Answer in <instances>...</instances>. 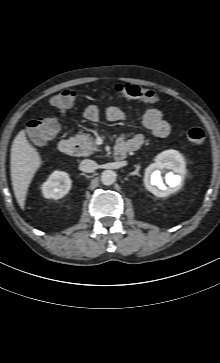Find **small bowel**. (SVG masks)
<instances>
[{
	"label": "small bowel",
	"mask_w": 220,
	"mask_h": 363,
	"mask_svg": "<svg viewBox=\"0 0 220 363\" xmlns=\"http://www.w3.org/2000/svg\"><path fill=\"white\" fill-rule=\"evenodd\" d=\"M106 118L112 122H118L125 119V113L118 107L110 106L105 111ZM84 117L89 121H97L100 117V110L96 105L88 106L84 111ZM141 123L154 137L163 138L170 133V125L163 118L159 109H148L142 116ZM144 138L142 135H135L131 138L120 137L118 146L124 147L130 151H136L142 147Z\"/></svg>",
	"instance_id": "small-bowel-1"
}]
</instances>
